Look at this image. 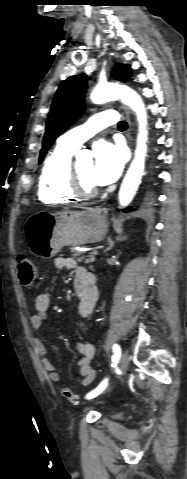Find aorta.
I'll return each mask as SVG.
<instances>
[{"label": "aorta", "instance_id": "762f6f07", "mask_svg": "<svg viewBox=\"0 0 187 479\" xmlns=\"http://www.w3.org/2000/svg\"><path fill=\"white\" fill-rule=\"evenodd\" d=\"M121 99L122 102L136 113L139 123V133L137 136V146L135 157L126 173L119 191V203L126 207L132 201L144 171L145 156L147 152V114L141 97L132 89L117 85L105 84L98 85L91 93V100L95 104L105 103L107 101Z\"/></svg>", "mask_w": 187, "mask_h": 479}]
</instances>
